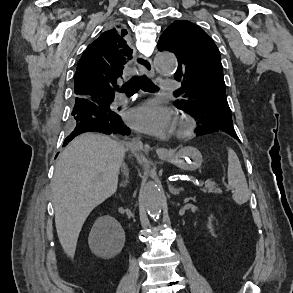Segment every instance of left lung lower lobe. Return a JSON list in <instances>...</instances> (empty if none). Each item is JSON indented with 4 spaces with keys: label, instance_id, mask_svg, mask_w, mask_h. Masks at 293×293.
Instances as JSON below:
<instances>
[{
    "label": "left lung lower lobe",
    "instance_id": "left-lung-lower-lobe-1",
    "mask_svg": "<svg viewBox=\"0 0 293 293\" xmlns=\"http://www.w3.org/2000/svg\"><path fill=\"white\" fill-rule=\"evenodd\" d=\"M212 131H223L228 133L229 135H231L232 137H234L235 139H237L239 142V138L234 130V128L232 126H220V125H213V126H203L200 125L198 126V128L196 129V133L197 135H202V134H206Z\"/></svg>",
    "mask_w": 293,
    "mask_h": 293
}]
</instances>
